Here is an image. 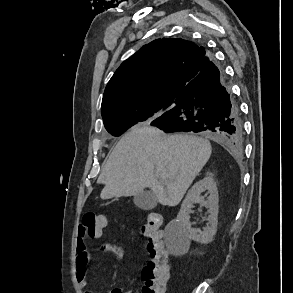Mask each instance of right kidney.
Returning <instances> with one entry per match:
<instances>
[{
    "label": "right kidney",
    "instance_id": "1",
    "mask_svg": "<svg viewBox=\"0 0 293 293\" xmlns=\"http://www.w3.org/2000/svg\"><path fill=\"white\" fill-rule=\"evenodd\" d=\"M205 191L209 194L207 199L201 196V193ZM218 201V190L212 177L207 176L192 186L182 202L181 210L176 220L180 233L186 240H194L202 244L212 241L217 231ZM194 203H199L202 207L208 209V223L203 230L195 229L191 226L189 219Z\"/></svg>",
    "mask_w": 293,
    "mask_h": 293
}]
</instances>
